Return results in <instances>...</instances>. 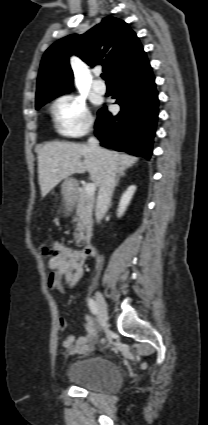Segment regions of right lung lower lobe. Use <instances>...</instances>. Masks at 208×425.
<instances>
[{
    "instance_id": "obj_1",
    "label": "right lung lower lobe",
    "mask_w": 208,
    "mask_h": 425,
    "mask_svg": "<svg viewBox=\"0 0 208 425\" xmlns=\"http://www.w3.org/2000/svg\"><path fill=\"white\" fill-rule=\"evenodd\" d=\"M114 98L121 106L117 116L106 107L98 111L95 135L106 148L150 158L158 115L155 78L147 57L113 80Z\"/></svg>"
}]
</instances>
